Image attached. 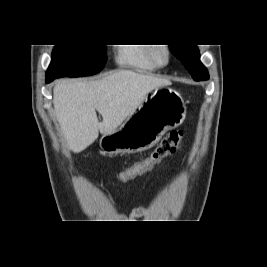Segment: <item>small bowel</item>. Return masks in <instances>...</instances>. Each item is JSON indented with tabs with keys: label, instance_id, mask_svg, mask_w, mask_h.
Here are the masks:
<instances>
[{
	"label": "small bowel",
	"instance_id": "1",
	"mask_svg": "<svg viewBox=\"0 0 267 267\" xmlns=\"http://www.w3.org/2000/svg\"><path fill=\"white\" fill-rule=\"evenodd\" d=\"M145 209L144 208H136L132 211V213L130 214L129 217L131 218H138V217H141L145 214Z\"/></svg>",
	"mask_w": 267,
	"mask_h": 267
}]
</instances>
